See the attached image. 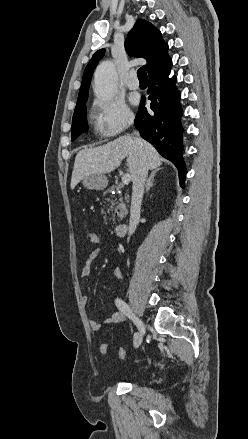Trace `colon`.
Here are the masks:
<instances>
[{
    "label": "colon",
    "instance_id": "colon-1",
    "mask_svg": "<svg viewBox=\"0 0 248 439\" xmlns=\"http://www.w3.org/2000/svg\"><path fill=\"white\" fill-rule=\"evenodd\" d=\"M87 239H88L89 243L93 246H98L101 243L100 234L96 231L88 232ZM108 350H109L108 344L104 343L100 346L101 354L106 355L108 353ZM118 355L121 359L128 358V354H127L126 350L123 348L118 349Z\"/></svg>",
    "mask_w": 248,
    "mask_h": 439
}]
</instances>
